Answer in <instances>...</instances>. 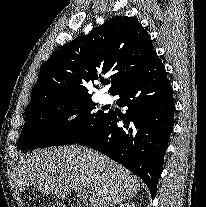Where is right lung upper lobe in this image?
<instances>
[{"label": "right lung upper lobe", "mask_w": 206, "mask_h": 207, "mask_svg": "<svg viewBox=\"0 0 206 207\" xmlns=\"http://www.w3.org/2000/svg\"><path fill=\"white\" fill-rule=\"evenodd\" d=\"M157 56L150 35L135 19L116 16L65 44L45 62L25 112L50 102L91 97L87 86L110 73L114 94Z\"/></svg>", "instance_id": "cb5924a9"}]
</instances>
